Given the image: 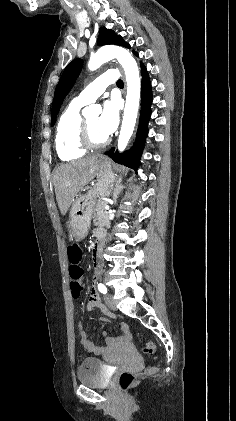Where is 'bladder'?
I'll return each mask as SVG.
<instances>
[{
    "label": "bladder",
    "instance_id": "31cf9c89",
    "mask_svg": "<svg viewBox=\"0 0 236 421\" xmlns=\"http://www.w3.org/2000/svg\"><path fill=\"white\" fill-rule=\"evenodd\" d=\"M77 382L93 387L104 388L109 386L102 371V360L97 358H85L76 371Z\"/></svg>",
    "mask_w": 236,
    "mask_h": 421
}]
</instances>
